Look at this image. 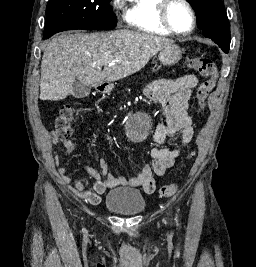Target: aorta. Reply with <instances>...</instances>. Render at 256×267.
Returning <instances> with one entry per match:
<instances>
[{"instance_id": "obj_1", "label": "aorta", "mask_w": 256, "mask_h": 267, "mask_svg": "<svg viewBox=\"0 0 256 267\" xmlns=\"http://www.w3.org/2000/svg\"><path fill=\"white\" fill-rule=\"evenodd\" d=\"M130 127H150V122H146V117H127ZM154 133V128H127V138H133V143H144V138H150Z\"/></svg>"}]
</instances>
